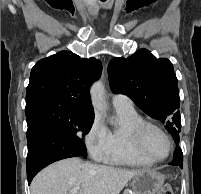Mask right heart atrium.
<instances>
[{
	"instance_id": "1",
	"label": "right heart atrium",
	"mask_w": 201,
	"mask_h": 194,
	"mask_svg": "<svg viewBox=\"0 0 201 194\" xmlns=\"http://www.w3.org/2000/svg\"><path fill=\"white\" fill-rule=\"evenodd\" d=\"M86 146L95 158L104 154L107 146V133L101 118L95 115L85 135Z\"/></svg>"
}]
</instances>
